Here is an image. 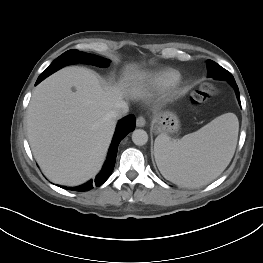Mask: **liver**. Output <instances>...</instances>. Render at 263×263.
<instances>
[{
	"label": "liver",
	"instance_id": "obj_1",
	"mask_svg": "<svg viewBox=\"0 0 263 263\" xmlns=\"http://www.w3.org/2000/svg\"><path fill=\"white\" fill-rule=\"evenodd\" d=\"M125 93L124 87L103 88L83 67L63 68L36 87L26 115L27 135L49 180L75 186L99 172L116 127L110 113Z\"/></svg>",
	"mask_w": 263,
	"mask_h": 263
}]
</instances>
